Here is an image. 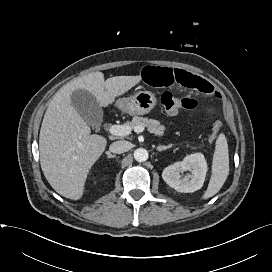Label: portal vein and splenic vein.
<instances>
[{"instance_id":"1","label":"portal vein and splenic vein","mask_w":272,"mask_h":272,"mask_svg":"<svg viewBox=\"0 0 272 272\" xmlns=\"http://www.w3.org/2000/svg\"><path fill=\"white\" fill-rule=\"evenodd\" d=\"M145 128L143 126H136L134 127L135 132H143ZM109 132L115 136H126L129 135L131 132V127L126 125H112L109 128Z\"/></svg>"}]
</instances>
